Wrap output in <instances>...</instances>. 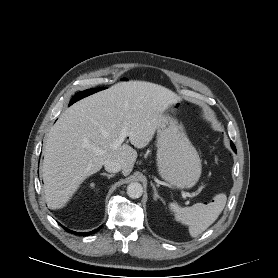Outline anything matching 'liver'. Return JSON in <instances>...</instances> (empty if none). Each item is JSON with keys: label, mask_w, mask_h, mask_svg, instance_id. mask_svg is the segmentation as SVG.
Masks as SVG:
<instances>
[{"label": "liver", "mask_w": 278, "mask_h": 278, "mask_svg": "<svg viewBox=\"0 0 278 278\" xmlns=\"http://www.w3.org/2000/svg\"><path fill=\"white\" fill-rule=\"evenodd\" d=\"M178 102L179 97L163 86L128 81L67 108L46 139L42 172L48 206L63 208L80 184L106 161L119 162L123 175H129L137 152L128 144L113 149V142L125 131L134 147L144 148L164 111Z\"/></svg>", "instance_id": "obj_1"}]
</instances>
